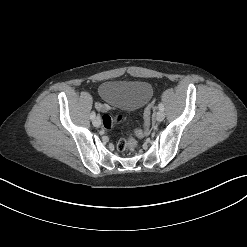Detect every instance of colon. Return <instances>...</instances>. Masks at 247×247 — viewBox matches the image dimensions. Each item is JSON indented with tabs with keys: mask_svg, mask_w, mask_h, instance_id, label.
Here are the masks:
<instances>
[{
	"mask_svg": "<svg viewBox=\"0 0 247 247\" xmlns=\"http://www.w3.org/2000/svg\"><path fill=\"white\" fill-rule=\"evenodd\" d=\"M154 108V101H152L144 111V122L140 129L135 132L128 131L127 137L121 138L117 144L120 151H133L137 147L138 139L149 134V123L151 113ZM123 117L121 115H103V126L105 129H112L122 123Z\"/></svg>",
	"mask_w": 247,
	"mask_h": 247,
	"instance_id": "obj_1",
	"label": "colon"
}]
</instances>
